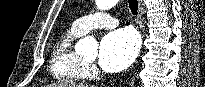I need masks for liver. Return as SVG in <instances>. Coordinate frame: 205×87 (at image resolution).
I'll list each match as a JSON object with an SVG mask.
<instances>
[{
  "label": "liver",
  "mask_w": 205,
  "mask_h": 87,
  "mask_svg": "<svg viewBox=\"0 0 205 87\" xmlns=\"http://www.w3.org/2000/svg\"><path fill=\"white\" fill-rule=\"evenodd\" d=\"M49 87H91L85 84H75L74 82H61L57 84H52Z\"/></svg>",
  "instance_id": "liver-1"
}]
</instances>
